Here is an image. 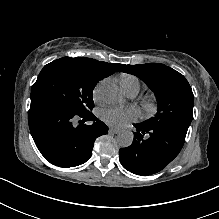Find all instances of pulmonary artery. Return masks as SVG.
<instances>
[{
  "label": "pulmonary artery",
  "instance_id": "pulmonary-artery-1",
  "mask_svg": "<svg viewBox=\"0 0 219 219\" xmlns=\"http://www.w3.org/2000/svg\"><path fill=\"white\" fill-rule=\"evenodd\" d=\"M129 97H134L135 96V93H129L127 94Z\"/></svg>",
  "mask_w": 219,
  "mask_h": 219
}]
</instances>
